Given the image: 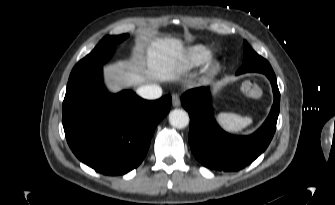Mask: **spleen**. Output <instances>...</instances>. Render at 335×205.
Segmentation results:
<instances>
[{"instance_id": "obj_1", "label": "spleen", "mask_w": 335, "mask_h": 205, "mask_svg": "<svg viewBox=\"0 0 335 205\" xmlns=\"http://www.w3.org/2000/svg\"><path fill=\"white\" fill-rule=\"evenodd\" d=\"M219 123L229 132H242L252 123L250 117H242L233 113H222L217 116Z\"/></svg>"}]
</instances>
